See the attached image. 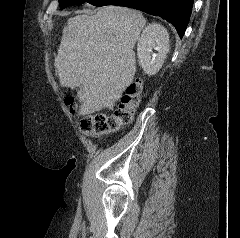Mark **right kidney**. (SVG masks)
Masks as SVG:
<instances>
[{"instance_id": "obj_1", "label": "right kidney", "mask_w": 240, "mask_h": 238, "mask_svg": "<svg viewBox=\"0 0 240 238\" xmlns=\"http://www.w3.org/2000/svg\"><path fill=\"white\" fill-rule=\"evenodd\" d=\"M157 50V54L153 53ZM169 51V34L158 23L149 24L143 30L137 44L139 64L148 75H155L162 67Z\"/></svg>"}]
</instances>
